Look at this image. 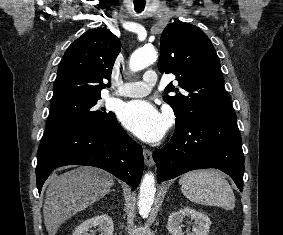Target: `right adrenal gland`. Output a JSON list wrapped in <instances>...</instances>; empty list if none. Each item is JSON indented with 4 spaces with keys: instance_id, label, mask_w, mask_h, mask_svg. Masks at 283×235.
<instances>
[{
    "instance_id": "2a0ac1e0",
    "label": "right adrenal gland",
    "mask_w": 283,
    "mask_h": 235,
    "mask_svg": "<svg viewBox=\"0 0 283 235\" xmlns=\"http://www.w3.org/2000/svg\"><path fill=\"white\" fill-rule=\"evenodd\" d=\"M111 191H112V192H115V189H112Z\"/></svg>"
}]
</instances>
